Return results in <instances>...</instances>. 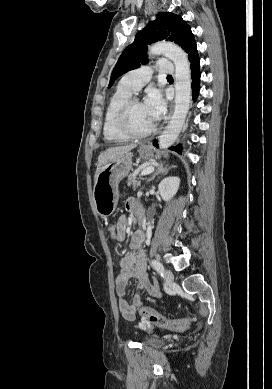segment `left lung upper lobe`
I'll return each mask as SVG.
<instances>
[{
	"label": "left lung upper lobe",
	"mask_w": 272,
	"mask_h": 389,
	"mask_svg": "<svg viewBox=\"0 0 272 389\" xmlns=\"http://www.w3.org/2000/svg\"><path fill=\"white\" fill-rule=\"evenodd\" d=\"M164 39L177 43L188 53V56L196 47L191 29L180 15L159 13L156 20L138 32L133 43L123 51L112 71L109 87L117 77L139 67L140 64H146L147 45Z\"/></svg>",
	"instance_id": "1"
}]
</instances>
